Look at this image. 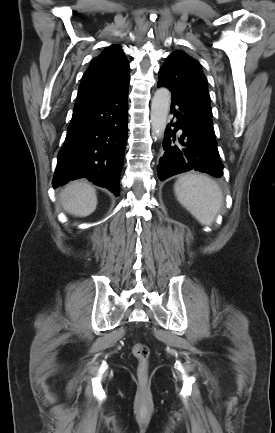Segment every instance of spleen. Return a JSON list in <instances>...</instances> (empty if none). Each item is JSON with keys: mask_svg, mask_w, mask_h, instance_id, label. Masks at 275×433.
<instances>
[{"mask_svg": "<svg viewBox=\"0 0 275 433\" xmlns=\"http://www.w3.org/2000/svg\"><path fill=\"white\" fill-rule=\"evenodd\" d=\"M178 201L201 223L210 225L222 205L217 183L205 175L186 174L174 185Z\"/></svg>", "mask_w": 275, "mask_h": 433, "instance_id": "spleen-1", "label": "spleen"}]
</instances>
